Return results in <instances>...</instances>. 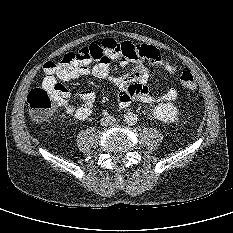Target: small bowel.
Instances as JSON below:
<instances>
[{
	"mask_svg": "<svg viewBox=\"0 0 233 233\" xmlns=\"http://www.w3.org/2000/svg\"><path fill=\"white\" fill-rule=\"evenodd\" d=\"M96 43L103 46V56L100 59L80 60L61 68L44 65L46 76L42 86L55 94L68 115L77 119L87 118L95 102V93L90 90L79 92L77 97L83 103L76 107L70 102L71 93L58 80L67 82L88 75L110 82L116 89L117 100L121 107H127L132 101L154 103L173 101L177 98L178 93L175 88L157 93L148 86L152 77L148 70H152L155 66L168 72L175 69L174 64L154 46L133 44L129 41L117 42L113 39ZM114 60H118L127 74L121 76L112 74L110 64Z\"/></svg>",
	"mask_w": 233,
	"mask_h": 233,
	"instance_id": "obj_1",
	"label": "small bowel"
}]
</instances>
